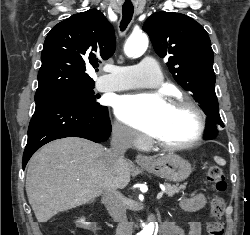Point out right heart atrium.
I'll return each instance as SVG.
<instances>
[{
    "mask_svg": "<svg viewBox=\"0 0 250 235\" xmlns=\"http://www.w3.org/2000/svg\"><path fill=\"white\" fill-rule=\"evenodd\" d=\"M112 134L118 142L126 146H139L145 144L146 142L145 138L141 134L120 120H115L113 122Z\"/></svg>",
    "mask_w": 250,
    "mask_h": 235,
    "instance_id": "d8ad5b80",
    "label": "right heart atrium"
}]
</instances>
